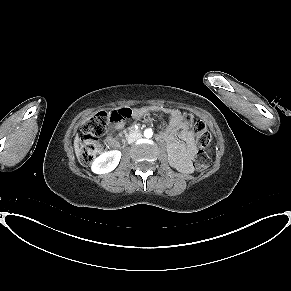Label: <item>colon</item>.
Returning <instances> with one entry per match:
<instances>
[{
    "mask_svg": "<svg viewBox=\"0 0 291 291\" xmlns=\"http://www.w3.org/2000/svg\"><path fill=\"white\" fill-rule=\"evenodd\" d=\"M132 111L129 108H122L112 112H98L93 115L82 127L80 139V162L88 166L97 155L105 149L100 137L105 133L109 122L127 120L131 117ZM184 120L197 135L199 151L194 160V167L197 171H203L210 165L209 151L212 145V136L202 120L195 119L192 114L185 113Z\"/></svg>",
    "mask_w": 291,
    "mask_h": 291,
    "instance_id": "1",
    "label": "colon"
}]
</instances>
